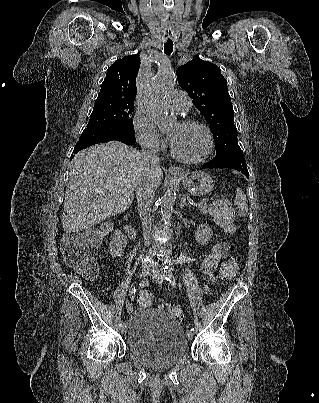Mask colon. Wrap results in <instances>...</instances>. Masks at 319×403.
<instances>
[{
	"mask_svg": "<svg viewBox=\"0 0 319 403\" xmlns=\"http://www.w3.org/2000/svg\"><path fill=\"white\" fill-rule=\"evenodd\" d=\"M212 215L216 222L225 230L228 235L235 233L233 225L234 213L223 199H217L211 207ZM109 226L102 229H87L65 235L61 241V251L65 264L74 268L86 279L94 280L98 276L97 262L90 255V246L98 245L103 237L104 231ZM238 263L236 258L225 261L221 267V276L224 280H229L237 272ZM137 303L142 308H147L152 304V294L149 291H140L137 295ZM159 308L167 311L174 318L183 321L184 313L175 304L160 303Z\"/></svg>",
	"mask_w": 319,
	"mask_h": 403,
	"instance_id": "1",
	"label": "colon"
}]
</instances>
